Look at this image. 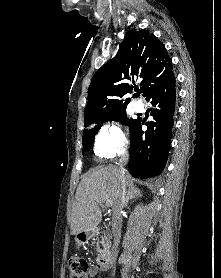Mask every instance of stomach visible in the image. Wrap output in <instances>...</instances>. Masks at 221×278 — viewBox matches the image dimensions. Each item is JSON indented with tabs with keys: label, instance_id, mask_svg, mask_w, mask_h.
<instances>
[{
	"label": "stomach",
	"instance_id": "1",
	"mask_svg": "<svg viewBox=\"0 0 221 278\" xmlns=\"http://www.w3.org/2000/svg\"><path fill=\"white\" fill-rule=\"evenodd\" d=\"M75 241H76V246L80 247L81 245H83L85 243L86 240L84 238H82L81 235H78V236H76Z\"/></svg>",
	"mask_w": 221,
	"mask_h": 278
}]
</instances>
